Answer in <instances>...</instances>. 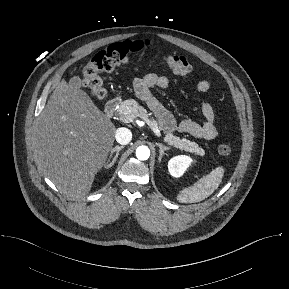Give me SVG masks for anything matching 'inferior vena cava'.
I'll return each instance as SVG.
<instances>
[{
  "label": "inferior vena cava",
  "mask_w": 289,
  "mask_h": 289,
  "mask_svg": "<svg viewBox=\"0 0 289 289\" xmlns=\"http://www.w3.org/2000/svg\"><path fill=\"white\" fill-rule=\"evenodd\" d=\"M116 141L121 145L128 144L132 139V133L128 128L121 127L115 132Z\"/></svg>",
  "instance_id": "602c4592"
}]
</instances>
